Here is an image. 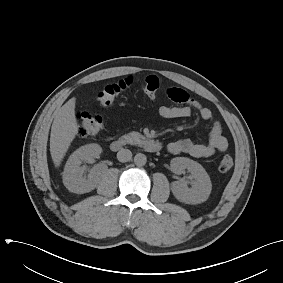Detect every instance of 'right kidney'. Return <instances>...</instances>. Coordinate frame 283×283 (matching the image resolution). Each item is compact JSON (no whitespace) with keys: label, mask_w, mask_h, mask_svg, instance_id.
Listing matches in <instances>:
<instances>
[{"label":"right kidney","mask_w":283,"mask_h":283,"mask_svg":"<svg viewBox=\"0 0 283 283\" xmlns=\"http://www.w3.org/2000/svg\"><path fill=\"white\" fill-rule=\"evenodd\" d=\"M101 152L102 148L98 144H88L77 149L69 157L63 172V183L70 192L83 194L95 189L104 167L94 166L89 174L84 176L85 167L81 164L93 162Z\"/></svg>","instance_id":"ca27d5eb"}]
</instances>
